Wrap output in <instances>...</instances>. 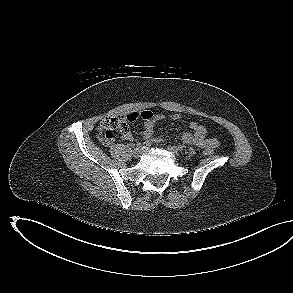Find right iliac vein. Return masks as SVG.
<instances>
[{
  "mask_svg": "<svg viewBox=\"0 0 293 293\" xmlns=\"http://www.w3.org/2000/svg\"><path fill=\"white\" fill-rule=\"evenodd\" d=\"M144 150H145V147H143V146H138V147H136V148L133 150V156H134L135 158L140 157L141 154L144 152Z\"/></svg>",
  "mask_w": 293,
  "mask_h": 293,
  "instance_id": "obj_1",
  "label": "right iliac vein"
}]
</instances>
